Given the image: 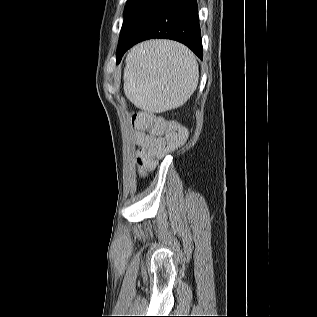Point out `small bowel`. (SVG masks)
Segmentation results:
<instances>
[{
    "label": "small bowel",
    "mask_w": 317,
    "mask_h": 317,
    "mask_svg": "<svg viewBox=\"0 0 317 317\" xmlns=\"http://www.w3.org/2000/svg\"><path fill=\"white\" fill-rule=\"evenodd\" d=\"M135 138H136L137 144L140 146L139 152L148 150L152 146L153 142L155 141L154 136L147 135L142 132H136Z\"/></svg>",
    "instance_id": "obj_1"
}]
</instances>
